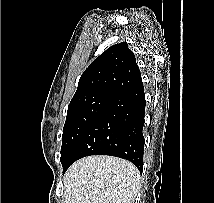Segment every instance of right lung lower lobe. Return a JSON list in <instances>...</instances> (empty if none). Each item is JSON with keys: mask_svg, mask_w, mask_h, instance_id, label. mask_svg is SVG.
I'll use <instances>...</instances> for the list:
<instances>
[{"mask_svg": "<svg viewBox=\"0 0 214 203\" xmlns=\"http://www.w3.org/2000/svg\"><path fill=\"white\" fill-rule=\"evenodd\" d=\"M145 106L143 84L113 97L70 152L63 173L76 160L90 155L123 158L142 172Z\"/></svg>", "mask_w": 214, "mask_h": 203, "instance_id": "obj_1", "label": "right lung lower lobe"}]
</instances>
